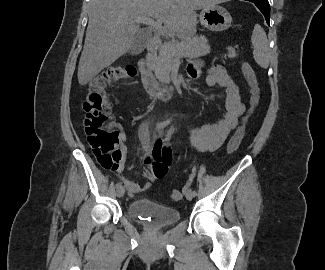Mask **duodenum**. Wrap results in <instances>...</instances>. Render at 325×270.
Returning <instances> with one entry per match:
<instances>
[{
    "label": "duodenum",
    "mask_w": 325,
    "mask_h": 270,
    "mask_svg": "<svg viewBox=\"0 0 325 270\" xmlns=\"http://www.w3.org/2000/svg\"><path fill=\"white\" fill-rule=\"evenodd\" d=\"M162 44V38L159 35L153 36L151 41L147 46V50L145 56L139 62V70L142 77V83L146 89V91L159 98L162 101L170 100L175 91L172 88L163 89L160 88L155 81L153 72H152V65L156 60V52Z\"/></svg>",
    "instance_id": "410a0bca"
}]
</instances>
